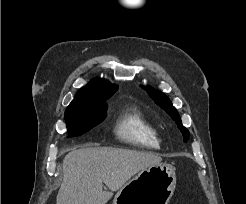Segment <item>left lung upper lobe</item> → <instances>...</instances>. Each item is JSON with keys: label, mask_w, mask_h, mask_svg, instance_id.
<instances>
[{"label": "left lung upper lobe", "mask_w": 246, "mask_h": 204, "mask_svg": "<svg viewBox=\"0 0 246 204\" xmlns=\"http://www.w3.org/2000/svg\"><path fill=\"white\" fill-rule=\"evenodd\" d=\"M150 97L155 101L157 105H159L162 109H164L171 118L176 122L178 128L183 134V140L186 142L189 138V131L182 125L181 119L175 107L172 105L171 101L160 91L154 90L151 86H142Z\"/></svg>", "instance_id": "1"}]
</instances>
